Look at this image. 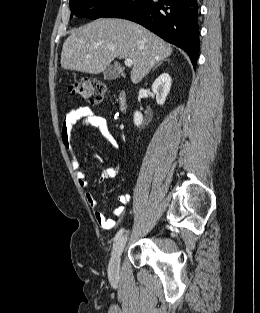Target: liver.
Returning a JSON list of instances; mask_svg holds the SVG:
<instances>
[{
    "label": "liver",
    "mask_w": 260,
    "mask_h": 313,
    "mask_svg": "<svg viewBox=\"0 0 260 313\" xmlns=\"http://www.w3.org/2000/svg\"><path fill=\"white\" fill-rule=\"evenodd\" d=\"M172 47L163 39L125 19H97L72 31L61 52L66 70L99 74L116 58L132 59L131 81L139 83Z\"/></svg>",
    "instance_id": "6515ba94"
}]
</instances>
